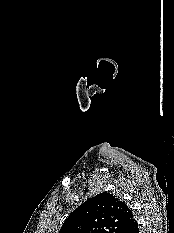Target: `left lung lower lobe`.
Listing matches in <instances>:
<instances>
[{"instance_id":"1","label":"left lung lower lobe","mask_w":174,"mask_h":233,"mask_svg":"<svg viewBox=\"0 0 174 233\" xmlns=\"http://www.w3.org/2000/svg\"><path fill=\"white\" fill-rule=\"evenodd\" d=\"M121 233H139L137 221L134 219L127 227L122 230Z\"/></svg>"}]
</instances>
